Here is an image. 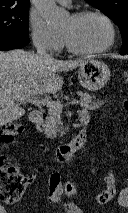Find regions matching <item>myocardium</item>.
Returning a JSON list of instances; mask_svg holds the SVG:
<instances>
[{
	"instance_id": "f54148a6",
	"label": "myocardium",
	"mask_w": 128,
	"mask_h": 213,
	"mask_svg": "<svg viewBox=\"0 0 128 213\" xmlns=\"http://www.w3.org/2000/svg\"><path fill=\"white\" fill-rule=\"evenodd\" d=\"M87 16H97L106 22V24L108 25V27L110 29V39H109L108 43L104 47L99 48V49L86 50V49H82V48L78 47L73 42V40L69 34L62 32V36H63L67 49L74 54L85 55V56L100 54V53L108 51L115 44L116 39H117V29H116L114 21L107 14H105L99 10L78 11V12L74 13L71 16V18L74 21H78Z\"/></svg>"
}]
</instances>
